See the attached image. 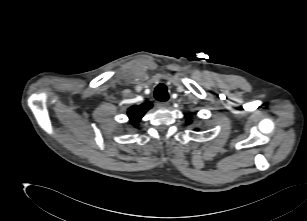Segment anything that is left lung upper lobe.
Here are the masks:
<instances>
[{"label": "left lung upper lobe", "mask_w": 307, "mask_h": 221, "mask_svg": "<svg viewBox=\"0 0 307 221\" xmlns=\"http://www.w3.org/2000/svg\"><path fill=\"white\" fill-rule=\"evenodd\" d=\"M187 123H191V120H190V119H187Z\"/></svg>", "instance_id": "obj_1"}]
</instances>
